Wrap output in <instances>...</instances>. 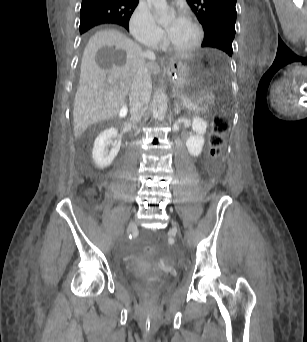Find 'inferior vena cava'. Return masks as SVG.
I'll return each mask as SVG.
<instances>
[{"label": "inferior vena cava", "instance_id": "inferior-vena-cava-1", "mask_svg": "<svg viewBox=\"0 0 307 342\" xmlns=\"http://www.w3.org/2000/svg\"><path fill=\"white\" fill-rule=\"evenodd\" d=\"M153 52L147 50L145 56H152ZM152 92L151 76L146 68H140L137 72L130 88L129 104H130V120L131 124L140 122L144 114V106L149 104Z\"/></svg>", "mask_w": 307, "mask_h": 342}]
</instances>
